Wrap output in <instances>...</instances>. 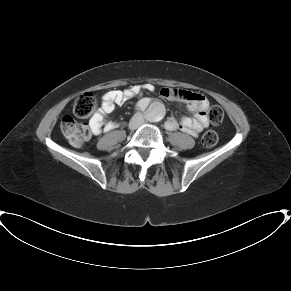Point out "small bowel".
Segmentation results:
<instances>
[{"instance_id": "obj_1", "label": "small bowel", "mask_w": 291, "mask_h": 291, "mask_svg": "<svg viewBox=\"0 0 291 291\" xmlns=\"http://www.w3.org/2000/svg\"><path fill=\"white\" fill-rule=\"evenodd\" d=\"M155 86L152 83L134 85L125 90H115L105 93L102 97V107L90 119V126L95 134L109 132L116 127V123L109 120L106 115L114 111L116 105H122L130 98L144 92H154ZM159 95L166 100H182L188 103V110L193 117H185L178 121L174 117H169L165 122V128L169 131L177 129L197 137L202 131L209 126L207 108L208 99L200 93L189 91H177L171 88H162ZM150 102L148 99H142L138 102L139 109H146Z\"/></svg>"}]
</instances>
